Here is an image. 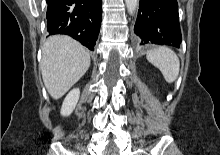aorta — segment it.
Returning a JSON list of instances; mask_svg holds the SVG:
<instances>
[{"mask_svg": "<svg viewBox=\"0 0 220 155\" xmlns=\"http://www.w3.org/2000/svg\"><path fill=\"white\" fill-rule=\"evenodd\" d=\"M125 3L130 14H134L139 6V0H125Z\"/></svg>", "mask_w": 220, "mask_h": 155, "instance_id": "aorta-1", "label": "aorta"}]
</instances>
